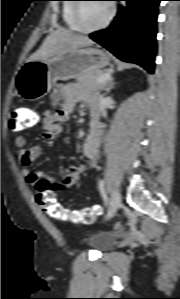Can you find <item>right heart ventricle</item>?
I'll return each mask as SVG.
<instances>
[{
    "label": "right heart ventricle",
    "mask_w": 180,
    "mask_h": 299,
    "mask_svg": "<svg viewBox=\"0 0 180 299\" xmlns=\"http://www.w3.org/2000/svg\"><path fill=\"white\" fill-rule=\"evenodd\" d=\"M75 0H66L65 3L62 6V19L65 23V25L73 31H78L74 22H73V8H74V2Z\"/></svg>",
    "instance_id": "obj_1"
}]
</instances>
